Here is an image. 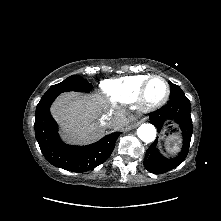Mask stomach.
Wrapping results in <instances>:
<instances>
[{"mask_svg": "<svg viewBox=\"0 0 221 221\" xmlns=\"http://www.w3.org/2000/svg\"><path fill=\"white\" fill-rule=\"evenodd\" d=\"M176 127L173 125L172 127H170V128H168V133H169V136L168 137H165L164 136V138H169V137H171V136H174L175 135V129Z\"/></svg>", "mask_w": 221, "mask_h": 221, "instance_id": "obj_1", "label": "stomach"}]
</instances>
